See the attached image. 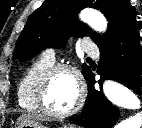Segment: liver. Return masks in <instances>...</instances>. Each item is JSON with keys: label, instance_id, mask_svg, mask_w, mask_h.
<instances>
[{"label": "liver", "instance_id": "liver-1", "mask_svg": "<svg viewBox=\"0 0 142 128\" xmlns=\"http://www.w3.org/2000/svg\"><path fill=\"white\" fill-rule=\"evenodd\" d=\"M23 119H36V120H41L43 119L42 116L37 115V114H24L22 116L19 117L18 122L23 120Z\"/></svg>", "mask_w": 142, "mask_h": 128}]
</instances>
